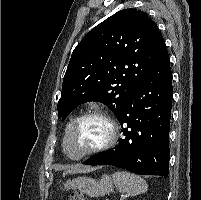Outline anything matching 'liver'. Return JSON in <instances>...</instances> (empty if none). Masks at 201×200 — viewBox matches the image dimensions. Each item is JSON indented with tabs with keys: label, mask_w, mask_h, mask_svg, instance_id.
<instances>
[{
	"label": "liver",
	"mask_w": 201,
	"mask_h": 200,
	"mask_svg": "<svg viewBox=\"0 0 201 200\" xmlns=\"http://www.w3.org/2000/svg\"><path fill=\"white\" fill-rule=\"evenodd\" d=\"M81 171H82V169L80 167L76 166L70 170L65 171L63 174L65 175V174H71V173H79Z\"/></svg>",
	"instance_id": "liver-1"
}]
</instances>
